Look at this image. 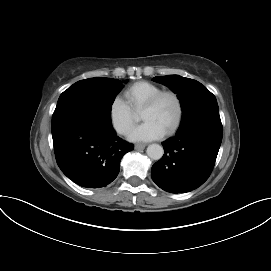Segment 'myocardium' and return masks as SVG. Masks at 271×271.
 Segmentation results:
<instances>
[{"label": "myocardium", "mask_w": 271, "mask_h": 271, "mask_svg": "<svg viewBox=\"0 0 271 271\" xmlns=\"http://www.w3.org/2000/svg\"><path fill=\"white\" fill-rule=\"evenodd\" d=\"M164 96L172 97L174 99V101H175L176 109H177L176 117H175V120H174L173 124L165 132L166 135H171L178 129V127L181 124L182 118H183V103H182V100H181L178 93H176L173 90H161V91L155 93L153 96H151L144 103V105L142 106L141 109L142 110H147V109L153 108L158 103V101Z\"/></svg>", "instance_id": "obj_1"}]
</instances>
